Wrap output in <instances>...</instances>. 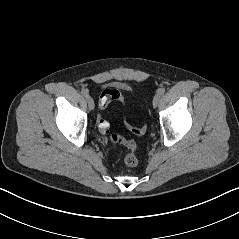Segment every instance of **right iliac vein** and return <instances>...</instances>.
I'll return each mask as SVG.
<instances>
[{"mask_svg": "<svg viewBox=\"0 0 239 239\" xmlns=\"http://www.w3.org/2000/svg\"><path fill=\"white\" fill-rule=\"evenodd\" d=\"M86 101H87V104H88V107L93 110L94 109V100L90 97V96H87L86 97Z\"/></svg>", "mask_w": 239, "mask_h": 239, "instance_id": "63e3f726", "label": "right iliac vein"}]
</instances>
